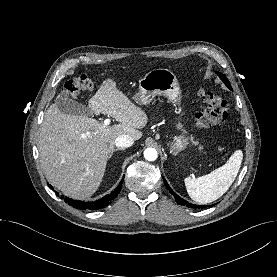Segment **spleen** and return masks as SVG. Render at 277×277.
Wrapping results in <instances>:
<instances>
[{"instance_id": "1", "label": "spleen", "mask_w": 277, "mask_h": 277, "mask_svg": "<svg viewBox=\"0 0 277 277\" xmlns=\"http://www.w3.org/2000/svg\"><path fill=\"white\" fill-rule=\"evenodd\" d=\"M243 153L236 150L221 167L198 178L184 179L186 190L192 200L207 204L220 198L234 182L241 167Z\"/></svg>"}]
</instances>
